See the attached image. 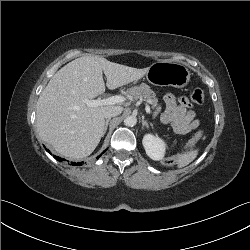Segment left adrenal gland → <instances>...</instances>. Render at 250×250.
<instances>
[{
  "label": "left adrenal gland",
  "mask_w": 250,
  "mask_h": 250,
  "mask_svg": "<svg viewBox=\"0 0 250 250\" xmlns=\"http://www.w3.org/2000/svg\"><path fill=\"white\" fill-rule=\"evenodd\" d=\"M142 126L148 128L149 127V124L146 120L142 119Z\"/></svg>",
  "instance_id": "a2214340"
}]
</instances>
